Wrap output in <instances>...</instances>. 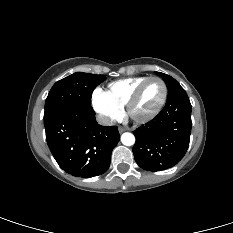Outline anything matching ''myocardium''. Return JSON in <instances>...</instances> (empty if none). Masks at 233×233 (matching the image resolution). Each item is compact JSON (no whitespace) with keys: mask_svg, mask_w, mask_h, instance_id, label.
Masks as SVG:
<instances>
[{"mask_svg":"<svg viewBox=\"0 0 233 233\" xmlns=\"http://www.w3.org/2000/svg\"><path fill=\"white\" fill-rule=\"evenodd\" d=\"M154 80L159 81L163 86L162 98L154 110H152L148 114L138 116L134 113V107H135L138 99L140 98V95H141L143 89L145 88V86L149 82L154 81ZM167 95H168V88H167L165 81L162 78L157 77V76L148 77L147 79L142 81L136 87V89L133 91V93L131 94V96L126 104V110H127L128 116L137 123H146V122L152 120L162 110V108L166 102Z\"/></svg>","mask_w":233,"mask_h":233,"instance_id":"f54148a6","label":"myocardium"}]
</instances>
